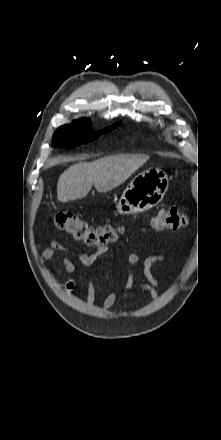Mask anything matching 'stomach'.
<instances>
[{"label": "stomach", "instance_id": "1", "mask_svg": "<svg viewBox=\"0 0 221 440\" xmlns=\"http://www.w3.org/2000/svg\"><path fill=\"white\" fill-rule=\"evenodd\" d=\"M168 187V175L159 168H149L127 185L117 203V212L122 215L143 213L163 199Z\"/></svg>", "mask_w": 221, "mask_h": 440}]
</instances>
